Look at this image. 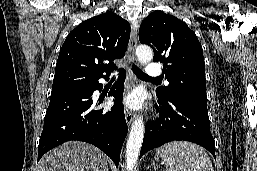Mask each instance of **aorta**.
<instances>
[{
  "label": "aorta",
  "mask_w": 257,
  "mask_h": 171,
  "mask_svg": "<svg viewBox=\"0 0 257 171\" xmlns=\"http://www.w3.org/2000/svg\"><path fill=\"white\" fill-rule=\"evenodd\" d=\"M136 55L140 63L146 64L153 58V51L149 46L139 45L136 49ZM144 137L143 118L138 117L132 124L130 135L126 146V166L128 171H133Z\"/></svg>",
  "instance_id": "1"
}]
</instances>
